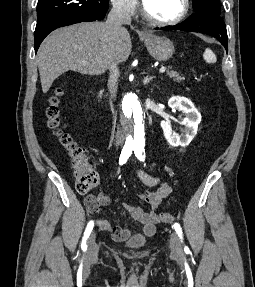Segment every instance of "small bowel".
<instances>
[{
    "mask_svg": "<svg viewBox=\"0 0 255 287\" xmlns=\"http://www.w3.org/2000/svg\"><path fill=\"white\" fill-rule=\"evenodd\" d=\"M137 175L146 187L139 194L140 199L150 205L151 210L146 211L139 206L125 204L123 210L119 213L120 218L124 221V226L112 225L107 219H96V226L103 232L110 233L113 239L122 241L126 239L131 230L126 226L127 218L130 217L136 222L143 225V232L146 235H153L156 231V225L161 222L160 215L157 210L162 201L169 196L172 189L166 182H162L157 176H152L142 169L137 171ZM157 187L156 190L153 188ZM110 203V197L101 192L97 195H89L85 199V206L90 214L101 213L102 208Z\"/></svg>",
    "mask_w": 255,
    "mask_h": 287,
    "instance_id": "small-bowel-1",
    "label": "small bowel"
}]
</instances>
